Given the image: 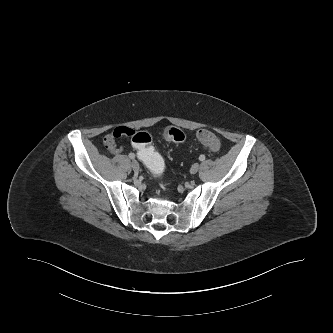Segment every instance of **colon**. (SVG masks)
I'll list each match as a JSON object with an SVG mask.
<instances>
[{"label":"colon","instance_id":"1","mask_svg":"<svg viewBox=\"0 0 333 333\" xmlns=\"http://www.w3.org/2000/svg\"><path fill=\"white\" fill-rule=\"evenodd\" d=\"M136 137L132 142L135 148V155L137 158L141 159L143 166L151 175H159L163 171L162 158L157 154L156 150L153 149L151 145V136L144 131H135ZM163 137L166 140L182 143L186 139L185 133L178 128L170 127L164 130ZM198 140L206 148L217 151L220 148L219 137L209 130H201L198 132Z\"/></svg>","mask_w":333,"mask_h":333}]
</instances>
